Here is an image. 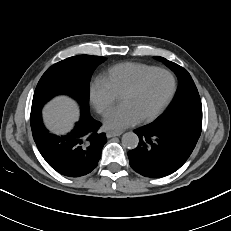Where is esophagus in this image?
<instances>
[{"mask_svg": "<svg viewBox=\"0 0 231 231\" xmlns=\"http://www.w3.org/2000/svg\"><path fill=\"white\" fill-rule=\"evenodd\" d=\"M121 134H122L121 131H117V132H115V131H108L106 133V137L107 138H112V137L120 136Z\"/></svg>", "mask_w": 231, "mask_h": 231, "instance_id": "esophagus-1", "label": "esophagus"}]
</instances>
